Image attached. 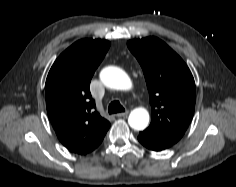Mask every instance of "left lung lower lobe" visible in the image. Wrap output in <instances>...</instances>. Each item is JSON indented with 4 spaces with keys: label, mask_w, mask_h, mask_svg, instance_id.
<instances>
[{
    "label": "left lung lower lobe",
    "mask_w": 236,
    "mask_h": 187,
    "mask_svg": "<svg viewBox=\"0 0 236 187\" xmlns=\"http://www.w3.org/2000/svg\"><path fill=\"white\" fill-rule=\"evenodd\" d=\"M138 140L146 148L154 151H161L173 145L171 142L161 140L143 133H139Z\"/></svg>",
    "instance_id": "obj_1"
}]
</instances>
